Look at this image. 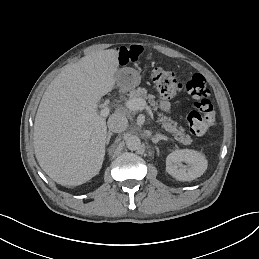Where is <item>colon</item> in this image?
<instances>
[{
  "label": "colon",
  "mask_w": 259,
  "mask_h": 259,
  "mask_svg": "<svg viewBox=\"0 0 259 259\" xmlns=\"http://www.w3.org/2000/svg\"><path fill=\"white\" fill-rule=\"evenodd\" d=\"M152 79L156 89L164 98H173L185 89L194 100L195 108L186 114V121L192 134L203 135L215 125L216 117L211 92L203 75L196 73L183 84L176 80L172 71L158 67L152 71Z\"/></svg>",
  "instance_id": "obj_1"
}]
</instances>
